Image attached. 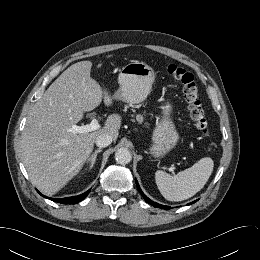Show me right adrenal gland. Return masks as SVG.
<instances>
[{
	"instance_id": "1",
	"label": "right adrenal gland",
	"mask_w": 260,
	"mask_h": 260,
	"mask_svg": "<svg viewBox=\"0 0 260 260\" xmlns=\"http://www.w3.org/2000/svg\"><path fill=\"white\" fill-rule=\"evenodd\" d=\"M101 151L102 149H97L90 157H88L87 162H90L89 169H92V167L96 162L97 154L100 153Z\"/></svg>"
}]
</instances>
